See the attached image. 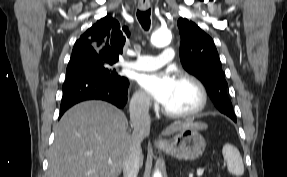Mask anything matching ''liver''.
I'll list each match as a JSON object with an SVG mask.
<instances>
[{"label":"liver","mask_w":287,"mask_h":177,"mask_svg":"<svg viewBox=\"0 0 287 177\" xmlns=\"http://www.w3.org/2000/svg\"><path fill=\"white\" fill-rule=\"evenodd\" d=\"M127 124L125 114L109 103L86 101L75 105L56 125L46 177H118L133 142ZM186 127L204 130L208 126L175 122L163 134Z\"/></svg>","instance_id":"1"}]
</instances>
